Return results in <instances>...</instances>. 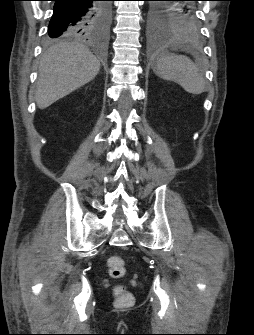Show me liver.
Segmentation results:
<instances>
[{"label": "liver", "instance_id": "1", "mask_svg": "<svg viewBox=\"0 0 254 335\" xmlns=\"http://www.w3.org/2000/svg\"><path fill=\"white\" fill-rule=\"evenodd\" d=\"M99 70V60L85 45L66 41L53 45L40 61L35 93L37 106L49 107L92 81Z\"/></svg>", "mask_w": 254, "mask_h": 335}]
</instances>
